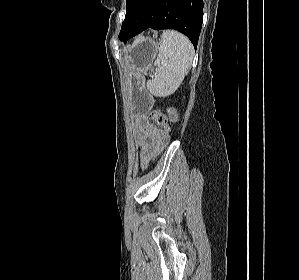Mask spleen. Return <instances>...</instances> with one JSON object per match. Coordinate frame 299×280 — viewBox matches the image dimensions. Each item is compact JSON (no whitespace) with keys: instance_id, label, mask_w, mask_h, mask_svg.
Wrapping results in <instances>:
<instances>
[{"instance_id":"1","label":"spleen","mask_w":299,"mask_h":280,"mask_svg":"<svg viewBox=\"0 0 299 280\" xmlns=\"http://www.w3.org/2000/svg\"><path fill=\"white\" fill-rule=\"evenodd\" d=\"M194 57V48L187 37L176 31H164L157 59L152 68L154 78L146 83L149 92L157 97L174 93L184 80Z\"/></svg>"}]
</instances>
